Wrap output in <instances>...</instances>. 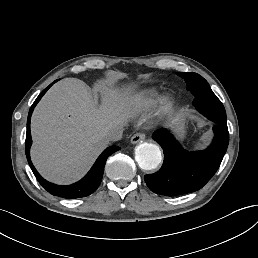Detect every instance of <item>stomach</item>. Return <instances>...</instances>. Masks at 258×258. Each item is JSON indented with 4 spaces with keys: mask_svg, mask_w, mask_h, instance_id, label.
Returning <instances> with one entry per match:
<instances>
[{
    "mask_svg": "<svg viewBox=\"0 0 258 258\" xmlns=\"http://www.w3.org/2000/svg\"><path fill=\"white\" fill-rule=\"evenodd\" d=\"M177 133H178V136L180 137V138H183L184 136H185V125H184V123L182 122V124H181V126H180V128L177 130Z\"/></svg>",
    "mask_w": 258,
    "mask_h": 258,
    "instance_id": "stomach-1",
    "label": "stomach"
}]
</instances>
